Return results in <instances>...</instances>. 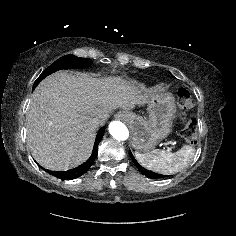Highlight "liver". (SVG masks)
Instances as JSON below:
<instances>
[{"label":"liver","instance_id":"liver-1","mask_svg":"<svg viewBox=\"0 0 236 236\" xmlns=\"http://www.w3.org/2000/svg\"><path fill=\"white\" fill-rule=\"evenodd\" d=\"M140 90L121 77L98 79L56 72L36 87L27 110V142L34 159L53 171L74 168L90 156L97 128L116 109L142 104Z\"/></svg>","mask_w":236,"mask_h":236}]
</instances>
